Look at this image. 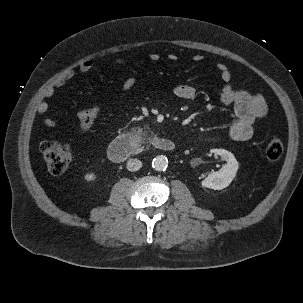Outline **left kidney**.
I'll use <instances>...</instances> for the list:
<instances>
[{
	"mask_svg": "<svg viewBox=\"0 0 303 303\" xmlns=\"http://www.w3.org/2000/svg\"><path fill=\"white\" fill-rule=\"evenodd\" d=\"M211 153L221 156L226 161L219 171L208 174V176L201 182L202 187L213 190H221L229 186L236 176L239 164L235 156L224 149H212Z\"/></svg>",
	"mask_w": 303,
	"mask_h": 303,
	"instance_id": "1",
	"label": "left kidney"
}]
</instances>
